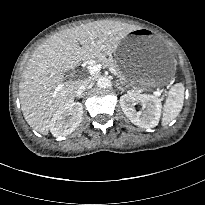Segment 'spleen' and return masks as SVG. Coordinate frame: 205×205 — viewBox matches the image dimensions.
Listing matches in <instances>:
<instances>
[{
	"label": "spleen",
	"instance_id": "obj_1",
	"mask_svg": "<svg viewBox=\"0 0 205 205\" xmlns=\"http://www.w3.org/2000/svg\"><path fill=\"white\" fill-rule=\"evenodd\" d=\"M185 87L182 83H176L171 87L164 104L162 125L165 126L174 120L180 113L184 103Z\"/></svg>",
	"mask_w": 205,
	"mask_h": 205
}]
</instances>
